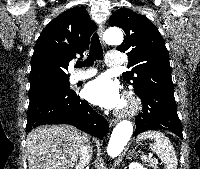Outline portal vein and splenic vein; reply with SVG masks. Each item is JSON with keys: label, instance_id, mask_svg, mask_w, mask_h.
<instances>
[{"label": "portal vein and splenic vein", "instance_id": "18ae733b", "mask_svg": "<svg viewBox=\"0 0 200 169\" xmlns=\"http://www.w3.org/2000/svg\"><path fill=\"white\" fill-rule=\"evenodd\" d=\"M151 157H152L151 155L148 156V157L147 156H143L142 159H147V158L150 159Z\"/></svg>", "mask_w": 200, "mask_h": 169}]
</instances>
